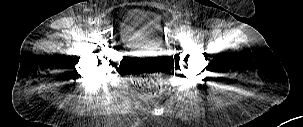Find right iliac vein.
<instances>
[{"mask_svg": "<svg viewBox=\"0 0 303 127\" xmlns=\"http://www.w3.org/2000/svg\"><path fill=\"white\" fill-rule=\"evenodd\" d=\"M102 24H103L102 19H100V18H96V19H95V25H96V26L100 27V26H102Z\"/></svg>", "mask_w": 303, "mask_h": 127, "instance_id": "63e3f726", "label": "right iliac vein"}]
</instances>
